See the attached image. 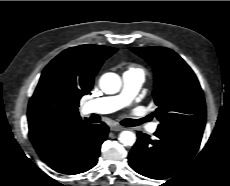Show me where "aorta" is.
Instances as JSON below:
<instances>
[{"label":"aorta","mask_w":230,"mask_h":186,"mask_svg":"<svg viewBox=\"0 0 230 186\" xmlns=\"http://www.w3.org/2000/svg\"><path fill=\"white\" fill-rule=\"evenodd\" d=\"M121 78L116 73H105L99 80L101 90L106 94H115L121 88ZM124 146H133L136 142V134L132 131H122L118 138Z\"/></svg>","instance_id":"1"}]
</instances>
